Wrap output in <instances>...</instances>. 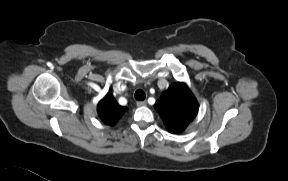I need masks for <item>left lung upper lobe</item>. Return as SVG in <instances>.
Here are the masks:
<instances>
[{
	"mask_svg": "<svg viewBox=\"0 0 288 181\" xmlns=\"http://www.w3.org/2000/svg\"><path fill=\"white\" fill-rule=\"evenodd\" d=\"M156 111L170 133L182 132L198 113V103L185 83L172 84L156 101Z\"/></svg>",
	"mask_w": 288,
	"mask_h": 181,
	"instance_id": "1",
	"label": "left lung upper lobe"
}]
</instances>
